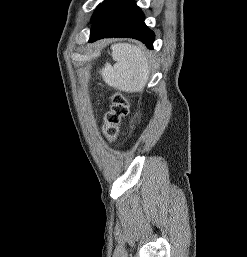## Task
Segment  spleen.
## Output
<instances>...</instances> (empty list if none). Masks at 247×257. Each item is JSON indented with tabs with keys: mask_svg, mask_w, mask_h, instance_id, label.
I'll return each instance as SVG.
<instances>
[{
	"mask_svg": "<svg viewBox=\"0 0 247 257\" xmlns=\"http://www.w3.org/2000/svg\"><path fill=\"white\" fill-rule=\"evenodd\" d=\"M114 66L106 63L100 71L103 80L120 91H141L149 78V65L141 45H112Z\"/></svg>",
	"mask_w": 247,
	"mask_h": 257,
	"instance_id": "obj_1",
	"label": "spleen"
}]
</instances>
